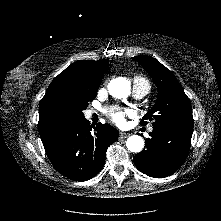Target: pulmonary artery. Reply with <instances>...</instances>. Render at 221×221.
<instances>
[{"label":"pulmonary artery","mask_w":221,"mask_h":221,"mask_svg":"<svg viewBox=\"0 0 221 221\" xmlns=\"http://www.w3.org/2000/svg\"><path fill=\"white\" fill-rule=\"evenodd\" d=\"M148 89L146 88H141V87H134L133 88V96L136 99H141L143 98L147 93H148ZM89 114H92V112H90ZM152 130V128H150V131Z\"/></svg>","instance_id":"obj_1"}]
</instances>
